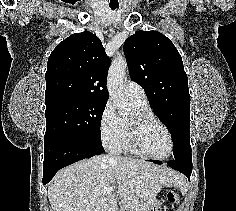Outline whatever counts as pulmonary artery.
<instances>
[{"label": "pulmonary artery", "instance_id": "e3ab8cb5", "mask_svg": "<svg viewBox=\"0 0 236 211\" xmlns=\"http://www.w3.org/2000/svg\"><path fill=\"white\" fill-rule=\"evenodd\" d=\"M124 93H125V96L131 101H134L140 104L147 103L146 94L143 88L134 81H128L125 84Z\"/></svg>", "mask_w": 236, "mask_h": 211}]
</instances>
